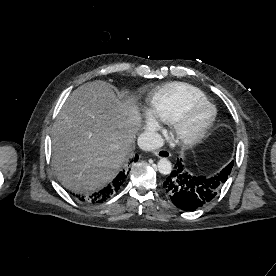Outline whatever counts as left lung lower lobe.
<instances>
[{
    "label": "left lung lower lobe",
    "instance_id": "1",
    "mask_svg": "<svg viewBox=\"0 0 276 276\" xmlns=\"http://www.w3.org/2000/svg\"><path fill=\"white\" fill-rule=\"evenodd\" d=\"M232 167L227 165L220 173L205 177L192 173L182 160L177 159L174 170L163 183V189L177 207L194 210L217 196Z\"/></svg>",
    "mask_w": 276,
    "mask_h": 276
}]
</instances>
